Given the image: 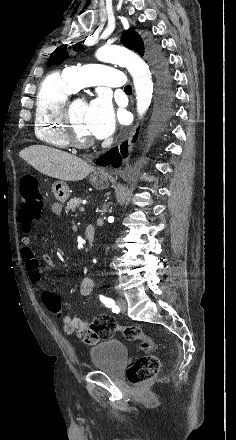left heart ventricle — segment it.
<instances>
[{
    "mask_svg": "<svg viewBox=\"0 0 236 440\" xmlns=\"http://www.w3.org/2000/svg\"><path fill=\"white\" fill-rule=\"evenodd\" d=\"M87 103L83 99H77L72 107V118L75 130L81 138H91L92 135L85 121Z\"/></svg>",
    "mask_w": 236,
    "mask_h": 440,
    "instance_id": "left-heart-ventricle-1",
    "label": "left heart ventricle"
}]
</instances>
